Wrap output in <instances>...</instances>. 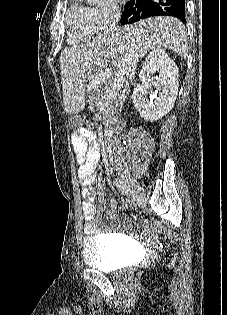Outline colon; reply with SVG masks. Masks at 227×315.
I'll use <instances>...</instances> for the list:
<instances>
[{
	"instance_id": "5ec220e1",
	"label": "colon",
	"mask_w": 227,
	"mask_h": 315,
	"mask_svg": "<svg viewBox=\"0 0 227 315\" xmlns=\"http://www.w3.org/2000/svg\"><path fill=\"white\" fill-rule=\"evenodd\" d=\"M70 124L74 127L77 131H91L88 126L85 125L84 120L80 116H73L70 119ZM92 132V131H91Z\"/></svg>"
}]
</instances>
